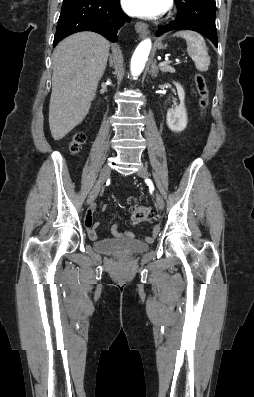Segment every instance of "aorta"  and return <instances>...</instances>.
<instances>
[{
	"mask_svg": "<svg viewBox=\"0 0 254 397\" xmlns=\"http://www.w3.org/2000/svg\"><path fill=\"white\" fill-rule=\"evenodd\" d=\"M151 49V40L145 39L136 48L131 60V74L133 76L139 75L145 66L147 58Z\"/></svg>",
	"mask_w": 254,
	"mask_h": 397,
	"instance_id": "aorta-1",
	"label": "aorta"
}]
</instances>
